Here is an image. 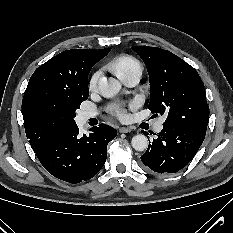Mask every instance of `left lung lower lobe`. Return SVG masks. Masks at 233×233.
<instances>
[{
  "label": "left lung lower lobe",
  "instance_id": "obj_1",
  "mask_svg": "<svg viewBox=\"0 0 233 233\" xmlns=\"http://www.w3.org/2000/svg\"><path fill=\"white\" fill-rule=\"evenodd\" d=\"M204 138L205 135L188 128L164 125L157 138L149 141L141 160L156 173H175L193 159Z\"/></svg>",
  "mask_w": 233,
  "mask_h": 233
}]
</instances>
